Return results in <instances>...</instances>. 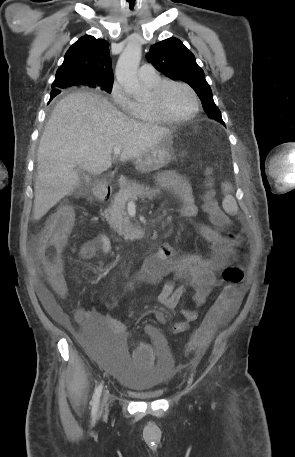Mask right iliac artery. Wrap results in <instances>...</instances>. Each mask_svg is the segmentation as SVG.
<instances>
[{
    "instance_id": "82829eb1",
    "label": "right iliac artery",
    "mask_w": 295,
    "mask_h": 457,
    "mask_svg": "<svg viewBox=\"0 0 295 457\" xmlns=\"http://www.w3.org/2000/svg\"><path fill=\"white\" fill-rule=\"evenodd\" d=\"M103 384L101 383L95 390L92 397V415H96L99 408V400L102 393Z\"/></svg>"
}]
</instances>
